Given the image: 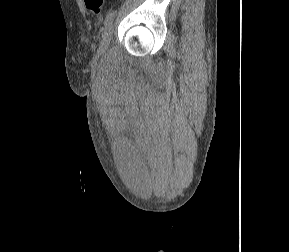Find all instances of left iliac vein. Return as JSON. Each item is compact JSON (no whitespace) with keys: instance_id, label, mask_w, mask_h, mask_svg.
Here are the masks:
<instances>
[{"instance_id":"1","label":"left iliac vein","mask_w":289,"mask_h":252,"mask_svg":"<svg viewBox=\"0 0 289 252\" xmlns=\"http://www.w3.org/2000/svg\"><path fill=\"white\" fill-rule=\"evenodd\" d=\"M111 37H112V23L108 25L103 31L102 38L100 41V46H99L100 51L103 52L108 48L110 41H111Z\"/></svg>"}]
</instances>
